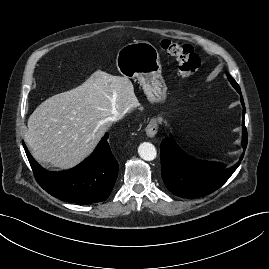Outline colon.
Instances as JSON below:
<instances>
[{
	"label": "colon",
	"mask_w": 269,
	"mask_h": 269,
	"mask_svg": "<svg viewBox=\"0 0 269 269\" xmlns=\"http://www.w3.org/2000/svg\"><path fill=\"white\" fill-rule=\"evenodd\" d=\"M161 48L176 59L182 76L190 77L197 72L200 59L190 45L165 39L161 42Z\"/></svg>",
	"instance_id": "1"
}]
</instances>
